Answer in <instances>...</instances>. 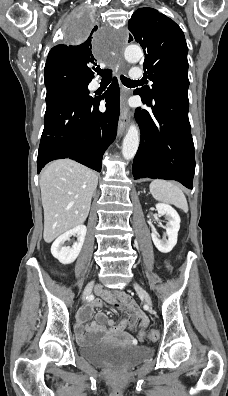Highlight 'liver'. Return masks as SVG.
<instances>
[{"label": "liver", "instance_id": "6515ba94", "mask_svg": "<svg viewBox=\"0 0 228 396\" xmlns=\"http://www.w3.org/2000/svg\"><path fill=\"white\" fill-rule=\"evenodd\" d=\"M97 184L95 172L70 159L55 160L42 171L46 243L85 222Z\"/></svg>", "mask_w": 228, "mask_h": 396}]
</instances>
